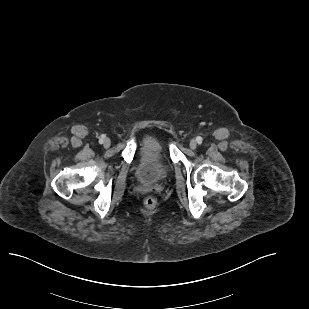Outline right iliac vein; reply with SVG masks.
Instances as JSON below:
<instances>
[{
    "instance_id": "63e3f726",
    "label": "right iliac vein",
    "mask_w": 309,
    "mask_h": 309,
    "mask_svg": "<svg viewBox=\"0 0 309 309\" xmlns=\"http://www.w3.org/2000/svg\"><path fill=\"white\" fill-rule=\"evenodd\" d=\"M110 145H111L110 139H109V138H104V139H103V146H104L105 148H108Z\"/></svg>"
}]
</instances>
